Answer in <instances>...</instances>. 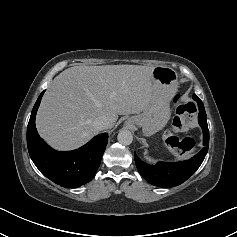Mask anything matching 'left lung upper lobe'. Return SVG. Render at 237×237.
I'll return each mask as SVG.
<instances>
[{
  "instance_id": "left-lung-upper-lobe-1",
  "label": "left lung upper lobe",
  "mask_w": 237,
  "mask_h": 237,
  "mask_svg": "<svg viewBox=\"0 0 237 237\" xmlns=\"http://www.w3.org/2000/svg\"><path fill=\"white\" fill-rule=\"evenodd\" d=\"M195 101H197V104H198V108H199V110L201 109H203L204 110V105H203V103H202V101L200 100V98L199 97H194L193 98Z\"/></svg>"
}]
</instances>
